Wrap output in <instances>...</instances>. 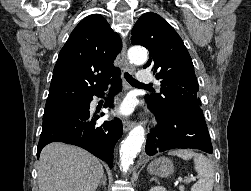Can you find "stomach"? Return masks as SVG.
Returning a JSON list of instances; mask_svg holds the SVG:
<instances>
[{
	"label": "stomach",
	"instance_id": "stomach-1",
	"mask_svg": "<svg viewBox=\"0 0 251 191\" xmlns=\"http://www.w3.org/2000/svg\"><path fill=\"white\" fill-rule=\"evenodd\" d=\"M149 173L152 175H160V177H166L174 171V165L171 159L168 157H157L154 161H151L147 167Z\"/></svg>",
	"mask_w": 251,
	"mask_h": 191
}]
</instances>
